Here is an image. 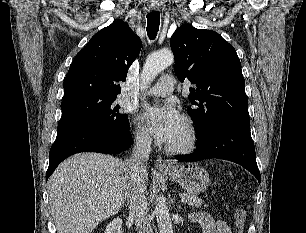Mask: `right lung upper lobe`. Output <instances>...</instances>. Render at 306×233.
Returning <instances> with one entry per match:
<instances>
[{"mask_svg":"<svg viewBox=\"0 0 306 233\" xmlns=\"http://www.w3.org/2000/svg\"><path fill=\"white\" fill-rule=\"evenodd\" d=\"M141 47L140 38L125 22L100 30L74 58L64 80L63 102L116 98Z\"/></svg>","mask_w":306,"mask_h":233,"instance_id":"right-lung-upper-lobe-1","label":"right lung upper lobe"}]
</instances>
